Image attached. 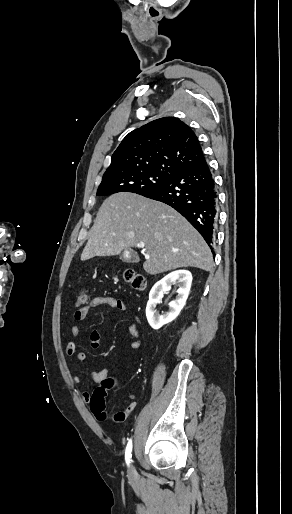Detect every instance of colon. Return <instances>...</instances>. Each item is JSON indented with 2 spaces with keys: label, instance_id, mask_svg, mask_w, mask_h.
I'll return each instance as SVG.
<instances>
[{
  "label": "colon",
  "instance_id": "5ec220e1",
  "mask_svg": "<svg viewBox=\"0 0 292 514\" xmlns=\"http://www.w3.org/2000/svg\"><path fill=\"white\" fill-rule=\"evenodd\" d=\"M122 276L127 281L132 289L138 291L143 290L145 287V277L144 275L136 272L132 269H125L122 271ZM89 306V297L87 292L84 290H79L76 294L74 308L75 311H81L87 309ZM113 379L106 378L102 382V386L98 388L90 398L91 401V411L92 417L96 421H100L104 419L105 416V407H106V393L107 390L112 388ZM132 411V407H127L124 411H121L116 414L115 419L122 420L129 412Z\"/></svg>",
  "mask_w": 292,
  "mask_h": 514
}]
</instances>
